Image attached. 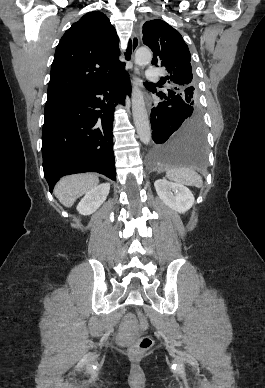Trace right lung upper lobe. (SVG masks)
<instances>
[{"mask_svg":"<svg viewBox=\"0 0 265 388\" xmlns=\"http://www.w3.org/2000/svg\"><path fill=\"white\" fill-rule=\"evenodd\" d=\"M119 38L102 12L85 14L63 35L51 67L47 101L109 81L124 70ZM129 42L126 60L131 57Z\"/></svg>","mask_w":265,"mask_h":388,"instance_id":"right-lung-upper-lobe-1","label":"right lung upper lobe"}]
</instances>
